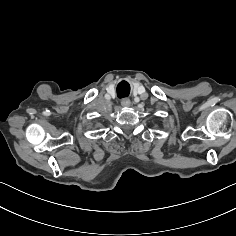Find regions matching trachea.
<instances>
[{"instance_id":"3493384b","label":"trachea","mask_w":236,"mask_h":236,"mask_svg":"<svg viewBox=\"0 0 236 236\" xmlns=\"http://www.w3.org/2000/svg\"><path fill=\"white\" fill-rule=\"evenodd\" d=\"M130 91L129 84L125 81H122L117 86V95L119 98L127 97Z\"/></svg>"}]
</instances>
